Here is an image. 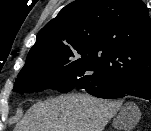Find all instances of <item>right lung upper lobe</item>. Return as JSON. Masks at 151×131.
I'll list each match as a JSON object with an SVG mask.
<instances>
[{
	"mask_svg": "<svg viewBox=\"0 0 151 131\" xmlns=\"http://www.w3.org/2000/svg\"><path fill=\"white\" fill-rule=\"evenodd\" d=\"M74 44L109 80L151 77V20L142 0H76L38 33L33 47Z\"/></svg>",
	"mask_w": 151,
	"mask_h": 131,
	"instance_id": "1",
	"label": "right lung upper lobe"
}]
</instances>
